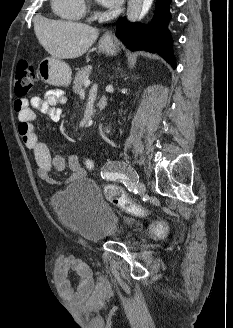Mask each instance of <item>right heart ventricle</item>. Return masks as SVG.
Segmentation results:
<instances>
[{"label":"right heart ventricle","mask_w":233,"mask_h":328,"mask_svg":"<svg viewBox=\"0 0 233 328\" xmlns=\"http://www.w3.org/2000/svg\"><path fill=\"white\" fill-rule=\"evenodd\" d=\"M55 13L67 20H79L86 12L85 0H53Z\"/></svg>","instance_id":"right-heart-ventricle-1"}]
</instances>
